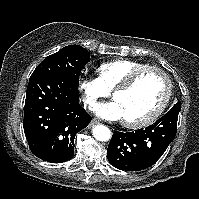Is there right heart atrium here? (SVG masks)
Returning <instances> with one entry per match:
<instances>
[{
    "instance_id": "1",
    "label": "right heart atrium",
    "mask_w": 199,
    "mask_h": 199,
    "mask_svg": "<svg viewBox=\"0 0 199 199\" xmlns=\"http://www.w3.org/2000/svg\"><path fill=\"white\" fill-rule=\"evenodd\" d=\"M78 88L82 94L84 105L89 108H93L100 98L109 94L98 78L81 79Z\"/></svg>"
}]
</instances>
